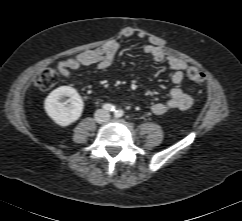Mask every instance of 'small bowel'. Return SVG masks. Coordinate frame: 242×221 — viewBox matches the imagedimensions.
<instances>
[{
    "label": "small bowel",
    "instance_id": "obj_1",
    "mask_svg": "<svg viewBox=\"0 0 242 221\" xmlns=\"http://www.w3.org/2000/svg\"><path fill=\"white\" fill-rule=\"evenodd\" d=\"M122 35L123 37H136L137 39L146 38L144 32L135 31L131 28H125L122 31ZM119 49L120 42L112 39L95 49L86 50L73 57L60 60L57 63V69L67 79H71L72 71L78 69L80 66L95 65V73L102 74L113 65ZM143 50L151 57L152 61L167 63L172 73L171 80L175 85L171 88L166 101L152 104V113L155 115H164L173 110L189 109L193 104V98L179 87L184 78V71L187 68L186 62L180 58L166 54L161 47L153 42L147 43Z\"/></svg>",
    "mask_w": 242,
    "mask_h": 221
}]
</instances>
